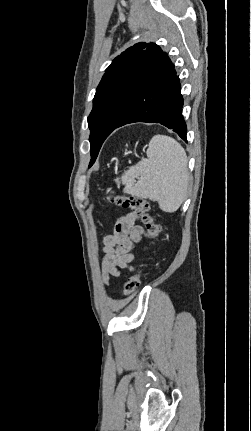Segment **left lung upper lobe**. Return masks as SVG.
<instances>
[{"mask_svg":"<svg viewBox=\"0 0 251 431\" xmlns=\"http://www.w3.org/2000/svg\"><path fill=\"white\" fill-rule=\"evenodd\" d=\"M154 43H137L117 56L106 69L88 116L90 166L99 150L124 116L143 82L162 54Z\"/></svg>","mask_w":251,"mask_h":431,"instance_id":"1","label":"left lung upper lobe"}]
</instances>
